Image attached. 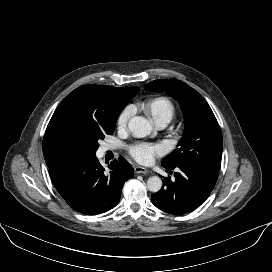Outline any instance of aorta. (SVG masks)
Instances as JSON below:
<instances>
[{"instance_id": "aorta-1", "label": "aorta", "mask_w": 272, "mask_h": 272, "mask_svg": "<svg viewBox=\"0 0 272 272\" xmlns=\"http://www.w3.org/2000/svg\"><path fill=\"white\" fill-rule=\"evenodd\" d=\"M128 128L133 136L143 138L152 132V125L150 122L140 116L132 117L129 120ZM147 187L151 192H158L162 187V180L158 176H152L147 181Z\"/></svg>"}]
</instances>
